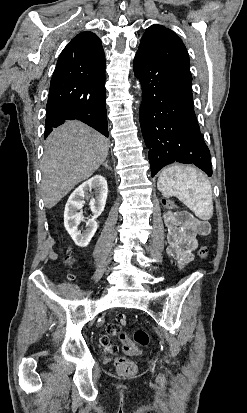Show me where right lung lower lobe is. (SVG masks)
<instances>
[{
    "label": "right lung lower lobe",
    "instance_id": "right-lung-lower-lobe-1",
    "mask_svg": "<svg viewBox=\"0 0 247 413\" xmlns=\"http://www.w3.org/2000/svg\"><path fill=\"white\" fill-rule=\"evenodd\" d=\"M105 65L86 71H54L46 106L45 138L66 120H80L108 137Z\"/></svg>",
    "mask_w": 247,
    "mask_h": 413
}]
</instances>
